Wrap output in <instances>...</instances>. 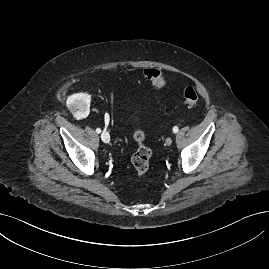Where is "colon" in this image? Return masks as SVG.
Segmentation results:
<instances>
[{"mask_svg":"<svg viewBox=\"0 0 269 269\" xmlns=\"http://www.w3.org/2000/svg\"><path fill=\"white\" fill-rule=\"evenodd\" d=\"M144 76L156 88H161L165 85V79L158 69H146ZM198 102V94L194 87L188 86L184 90V105L186 107H194ZM134 140L137 144V149L132 156L131 162L137 176H144L150 167V159L152 156L151 149L145 143V135L143 131L136 130Z\"/></svg>","mask_w":269,"mask_h":269,"instance_id":"obj_1","label":"colon"}]
</instances>
